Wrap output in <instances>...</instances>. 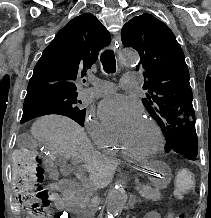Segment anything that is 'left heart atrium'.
I'll list each match as a JSON object with an SVG mask.
<instances>
[{
  "mask_svg": "<svg viewBox=\"0 0 211 218\" xmlns=\"http://www.w3.org/2000/svg\"><path fill=\"white\" fill-rule=\"evenodd\" d=\"M98 113L105 127L120 139L126 138L144 120L142 105L133 95L107 97L100 103Z\"/></svg>",
  "mask_w": 211,
  "mask_h": 218,
  "instance_id": "1",
  "label": "left heart atrium"
}]
</instances>
